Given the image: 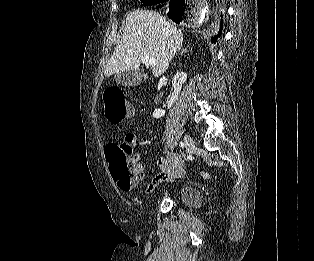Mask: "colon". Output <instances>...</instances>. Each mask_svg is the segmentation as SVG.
Instances as JSON below:
<instances>
[{"label":"colon","instance_id":"1","mask_svg":"<svg viewBox=\"0 0 314 261\" xmlns=\"http://www.w3.org/2000/svg\"><path fill=\"white\" fill-rule=\"evenodd\" d=\"M104 114L110 123H120L132 114V107L126 99L123 89L119 87L107 88L102 95ZM133 143L129 138L117 144L106 145L104 151L109 164L112 178L124 190L132 188L139 180L131 154ZM208 177V173H203Z\"/></svg>","mask_w":314,"mask_h":261}]
</instances>
